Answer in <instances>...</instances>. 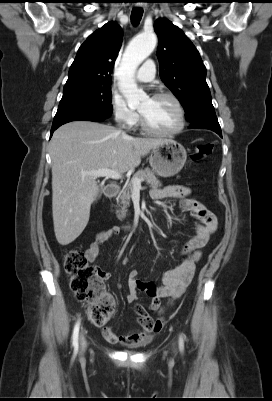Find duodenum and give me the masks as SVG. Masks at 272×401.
Here are the masks:
<instances>
[{
    "mask_svg": "<svg viewBox=\"0 0 272 401\" xmlns=\"http://www.w3.org/2000/svg\"><path fill=\"white\" fill-rule=\"evenodd\" d=\"M120 187L117 184H109L105 187V194L109 198H114L118 195Z\"/></svg>",
    "mask_w": 272,
    "mask_h": 401,
    "instance_id": "obj_1",
    "label": "duodenum"
}]
</instances>
